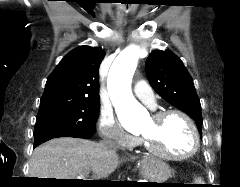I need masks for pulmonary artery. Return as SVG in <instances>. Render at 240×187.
Segmentation results:
<instances>
[{"label":"pulmonary artery","mask_w":240,"mask_h":187,"mask_svg":"<svg viewBox=\"0 0 240 187\" xmlns=\"http://www.w3.org/2000/svg\"><path fill=\"white\" fill-rule=\"evenodd\" d=\"M134 94L144 104L151 108L155 107L154 93L151 87L145 81H137L133 87Z\"/></svg>","instance_id":"e3ab8cb5"}]
</instances>
